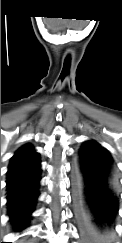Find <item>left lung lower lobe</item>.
<instances>
[{
    "label": "left lung lower lobe",
    "instance_id": "obj_1",
    "mask_svg": "<svg viewBox=\"0 0 122 243\" xmlns=\"http://www.w3.org/2000/svg\"><path fill=\"white\" fill-rule=\"evenodd\" d=\"M118 184L114 161L102 147L82 159L77 157L73 185L83 243H113L119 211Z\"/></svg>",
    "mask_w": 122,
    "mask_h": 243
}]
</instances>
